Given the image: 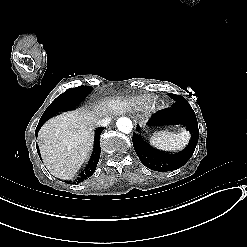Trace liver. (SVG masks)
Returning a JSON list of instances; mask_svg holds the SVG:
<instances>
[{
    "mask_svg": "<svg viewBox=\"0 0 247 247\" xmlns=\"http://www.w3.org/2000/svg\"><path fill=\"white\" fill-rule=\"evenodd\" d=\"M108 101L92 111L83 108L63 112L48 119L38 133V146L44 165L56 178L71 180L93 149L96 122L114 114Z\"/></svg>",
    "mask_w": 247,
    "mask_h": 247,
    "instance_id": "1",
    "label": "liver"
}]
</instances>
